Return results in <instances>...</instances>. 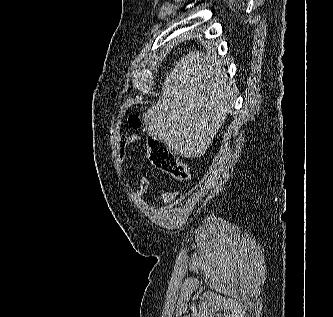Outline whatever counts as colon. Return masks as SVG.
<instances>
[{
	"instance_id": "5ec220e1",
	"label": "colon",
	"mask_w": 333,
	"mask_h": 317,
	"mask_svg": "<svg viewBox=\"0 0 333 317\" xmlns=\"http://www.w3.org/2000/svg\"><path fill=\"white\" fill-rule=\"evenodd\" d=\"M128 122L133 128L141 127V121L135 115L130 116ZM146 147L149 159L156 168L178 181H187L190 179L191 174L188 166L156 135L148 134Z\"/></svg>"
}]
</instances>
